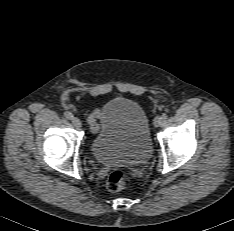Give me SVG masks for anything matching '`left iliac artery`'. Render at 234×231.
Masks as SVG:
<instances>
[{"instance_id":"left-iliac-artery-1","label":"left iliac artery","mask_w":234,"mask_h":231,"mask_svg":"<svg viewBox=\"0 0 234 231\" xmlns=\"http://www.w3.org/2000/svg\"><path fill=\"white\" fill-rule=\"evenodd\" d=\"M167 119L168 115L166 113H163L161 116V125H164Z\"/></svg>"}]
</instances>
